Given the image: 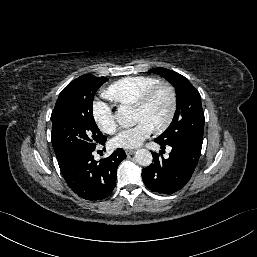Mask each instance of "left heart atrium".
Wrapping results in <instances>:
<instances>
[{
  "label": "left heart atrium",
  "mask_w": 257,
  "mask_h": 257,
  "mask_svg": "<svg viewBox=\"0 0 257 257\" xmlns=\"http://www.w3.org/2000/svg\"><path fill=\"white\" fill-rule=\"evenodd\" d=\"M152 128L144 121H139L135 126L120 131L113 139L114 146L124 149L136 148L149 137Z\"/></svg>",
  "instance_id": "obj_1"
}]
</instances>
